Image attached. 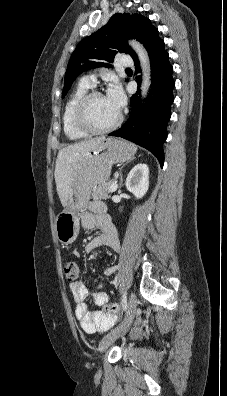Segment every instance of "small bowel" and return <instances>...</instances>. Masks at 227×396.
<instances>
[{
    "instance_id": "1",
    "label": "small bowel",
    "mask_w": 227,
    "mask_h": 396,
    "mask_svg": "<svg viewBox=\"0 0 227 396\" xmlns=\"http://www.w3.org/2000/svg\"><path fill=\"white\" fill-rule=\"evenodd\" d=\"M81 223L83 228L87 230L97 228L101 231L99 235L94 236L86 244L85 251L87 253L100 247H108L114 251L120 248L117 229L101 204H92L91 211L82 214ZM114 271L115 266L105 267L104 275L108 277ZM70 291L75 302V316L86 333L104 332L116 324L118 321L117 313H106L100 310L91 311L89 309V301H92L96 306H105L110 300L108 293L101 290L99 285L96 286L94 291H91L84 281L78 280L70 284ZM141 332L140 328H136L132 332V336L138 337Z\"/></svg>"
}]
</instances>
